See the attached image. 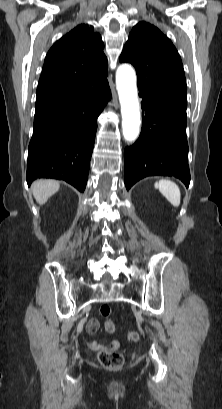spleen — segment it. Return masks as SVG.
<instances>
[{"label":"spleen","instance_id":"obj_1","mask_svg":"<svg viewBox=\"0 0 222 409\" xmlns=\"http://www.w3.org/2000/svg\"><path fill=\"white\" fill-rule=\"evenodd\" d=\"M155 188H157L174 207L180 205V189L174 182L170 180H160L155 183Z\"/></svg>","mask_w":222,"mask_h":409}]
</instances>
